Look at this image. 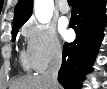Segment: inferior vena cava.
<instances>
[{
    "label": "inferior vena cava",
    "instance_id": "602c4592",
    "mask_svg": "<svg viewBox=\"0 0 107 89\" xmlns=\"http://www.w3.org/2000/svg\"><path fill=\"white\" fill-rule=\"evenodd\" d=\"M61 64H62V49L58 47L48 69L43 74L45 78L49 81L52 89H58L57 77Z\"/></svg>",
    "mask_w": 107,
    "mask_h": 89
}]
</instances>
